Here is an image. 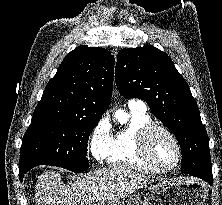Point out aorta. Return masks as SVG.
<instances>
[{
  "mask_svg": "<svg viewBox=\"0 0 222 205\" xmlns=\"http://www.w3.org/2000/svg\"><path fill=\"white\" fill-rule=\"evenodd\" d=\"M115 116H116V118H118V120H119L121 123L127 121V114L124 113V112L121 111V110H120V111H117V112L115 113Z\"/></svg>",
  "mask_w": 222,
  "mask_h": 205,
  "instance_id": "1",
  "label": "aorta"
}]
</instances>
